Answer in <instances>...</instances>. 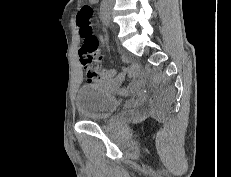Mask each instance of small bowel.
I'll return each instance as SVG.
<instances>
[{
	"mask_svg": "<svg viewBox=\"0 0 231 177\" xmlns=\"http://www.w3.org/2000/svg\"><path fill=\"white\" fill-rule=\"evenodd\" d=\"M89 1L90 3H96V1L93 0ZM84 69L86 72V79L88 83L103 86L108 91L120 95H125L129 92L137 91L144 83V79L141 76L140 70L137 66H126L120 73H117L114 70H103L99 72L97 70L96 63H94V66L92 68L84 67ZM126 77L130 79V82L127 86H122V81Z\"/></svg>",
	"mask_w": 231,
	"mask_h": 177,
	"instance_id": "c3829d8e",
	"label": "small bowel"
}]
</instances>
